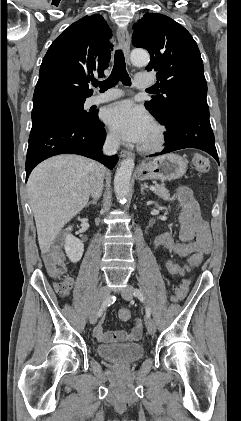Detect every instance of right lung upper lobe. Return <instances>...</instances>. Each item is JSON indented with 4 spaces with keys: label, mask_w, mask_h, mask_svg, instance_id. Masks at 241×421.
Masks as SVG:
<instances>
[{
    "label": "right lung upper lobe",
    "mask_w": 241,
    "mask_h": 421,
    "mask_svg": "<svg viewBox=\"0 0 241 421\" xmlns=\"http://www.w3.org/2000/svg\"><path fill=\"white\" fill-rule=\"evenodd\" d=\"M107 22L99 14L85 16L70 25L51 44L43 58L33 106L57 100H85L94 74L104 76L111 58Z\"/></svg>",
    "instance_id": "cb5924a9"
}]
</instances>
